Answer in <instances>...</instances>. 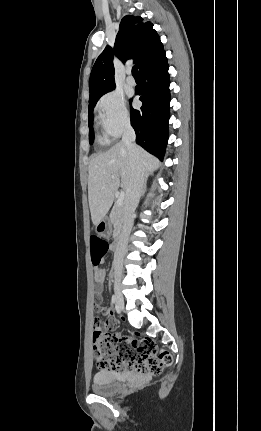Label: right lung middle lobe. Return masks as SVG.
Returning <instances> with one entry per match:
<instances>
[{"label":"right lung middle lobe","mask_w":261,"mask_h":431,"mask_svg":"<svg viewBox=\"0 0 261 431\" xmlns=\"http://www.w3.org/2000/svg\"><path fill=\"white\" fill-rule=\"evenodd\" d=\"M115 88V87H114ZM114 88H111L93 98L89 99V106H88V115H89V121H88V125H89V142L92 143L93 139H94V134H93V109L95 107L96 102L98 101V99L105 93L112 91Z\"/></svg>","instance_id":"right-lung-middle-lobe-1"}]
</instances>
